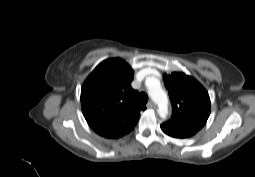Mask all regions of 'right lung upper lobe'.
Returning <instances> with one entry per match:
<instances>
[{"mask_svg": "<svg viewBox=\"0 0 255 177\" xmlns=\"http://www.w3.org/2000/svg\"><path fill=\"white\" fill-rule=\"evenodd\" d=\"M133 69L120 58L101 62L85 80L81 89L83 115L89 126L105 138L129 133L144 105L135 101L131 88Z\"/></svg>", "mask_w": 255, "mask_h": 177, "instance_id": "cb5924a9", "label": "right lung upper lobe"}]
</instances>
